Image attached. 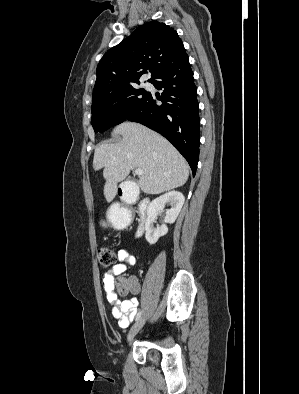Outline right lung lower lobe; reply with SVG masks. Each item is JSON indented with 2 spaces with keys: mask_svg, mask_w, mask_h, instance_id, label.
<instances>
[{
  "mask_svg": "<svg viewBox=\"0 0 299 394\" xmlns=\"http://www.w3.org/2000/svg\"><path fill=\"white\" fill-rule=\"evenodd\" d=\"M163 89L161 96L148 92L143 104L127 117L168 139L188 161L193 176L199 158V115L197 88L188 55L162 71L151 82ZM162 105H157V101Z\"/></svg>",
  "mask_w": 299,
  "mask_h": 394,
  "instance_id": "98d812e1",
  "label": "right lung lower lobe"
}]
</instances>
